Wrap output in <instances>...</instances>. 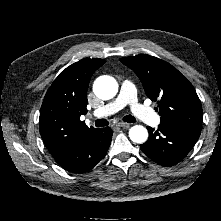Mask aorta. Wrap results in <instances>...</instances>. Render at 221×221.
Returning <instances> with one entry per match:
<instances>
[{
	"instance_id": "aorta-1",
	"label": "aorta",
	"mask_w": 221,
	"mask_h": 221,
	"mask_svg": "<svg viewBox=\"0 0 221 221\" xmlns=\"http://www.w3.org/2000/svg\"><path fill=\"white\" fill-rule=\"evenodd\" d=\"M94 94L102 99L109 100L113 98L118 91V84L111 76H100L93 84ZM129 137L135 143H144L148 138V131L141 125H135L129 130Z\"/></svg>"
}]
</instances>
